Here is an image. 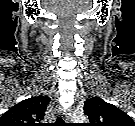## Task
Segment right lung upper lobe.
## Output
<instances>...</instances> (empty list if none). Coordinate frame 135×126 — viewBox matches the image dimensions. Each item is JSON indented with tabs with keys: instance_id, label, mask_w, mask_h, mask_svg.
Masks as SVG:
<instances>
[{
	"instance_id": "right-lung-upper-lobe-1",
	"label": "right lung upper lobe",
	"mask_w": 135,
	"mask_h": 126,
	"mask_svg": "<svg viewBox=\"0 0 135 126\" xmlns=\"http://www.w3.org/2000/svg\"><path fill=\"white\" fill-rule=\"evenodd\" d=\"M50 98L33 96L11 107L0 117V126H39Z\"/></svg>"
}]
</instances>
